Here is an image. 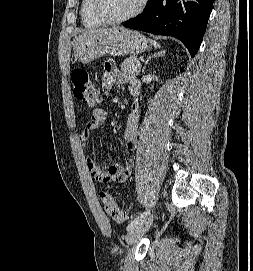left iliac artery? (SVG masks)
<instances>
[{"mask_svg":"<svg viewBox=\"0 0 253 271\" xmlns=\"http://www.w3.org/2000/svg\"><path fill=\"white\" fill-rule=\"evenodd\" d=\"M149 214L148 210L141 213L139 216H137L134 220H132L128 226H127V230H130L131 228H133L134 226H136L137 224H139L141 221L144 220V218Z\"/></svg>","mask_w":253,"mask_h":271,"instance_id":"obj_1","label":"left iliac artery"}]
</instances>
